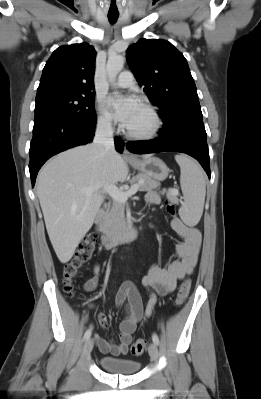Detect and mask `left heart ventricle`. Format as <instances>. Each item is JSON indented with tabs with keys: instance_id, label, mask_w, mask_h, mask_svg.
Listing matches in <instances>:
<instances>
[{
	"instance_id": "obj_1",
	"label": "left heart ventricle",
	"mask_w": 261,
	"mask_h": 399,
	"mask_svg": "<svg viewBox=\"0 0 261 399\" xmlns=\"http://www.w3.org/2000/svg\"><path fill=\"white\" fill-rule=\"evenodd\" d=\"M153 125V120L147 110L142 106L138 113L133 117L130 124L127 126V129L136 132L142 133L149 130Z\"/></svg>"
}]
</instances>
